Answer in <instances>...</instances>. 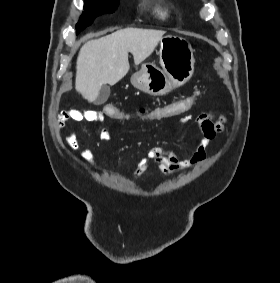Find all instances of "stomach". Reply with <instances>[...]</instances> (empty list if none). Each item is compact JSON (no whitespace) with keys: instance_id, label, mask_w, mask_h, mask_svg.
I'll return each mask as SVG.
<instances>
[{"instance_id":"obj_1","label":"stomach","mask_w":280,"mask_h":283,"mask_svg":"<svg viewBox=\"0 0 280 283\" xmlns=\"http://www.w3.org/2000/svg\"><path fill=\"white\" fill-rule=\"evenodd\" d=\"M160 65L143 64L131 77L137 89L150 95H165L187 83L194 73V55L190 43L183 37L167 35L160 40Z\"/></svg>"}]
</instances>
